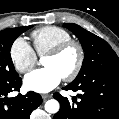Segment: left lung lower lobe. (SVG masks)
Masks as SVG:
<instances>
[{
  "label": "left lung lower lobe",
  "instance_id": "0a47b994",
  "mask_svg": "<svg viewBox=\"0 0 119 119\" xmlns=\"http://www.w3.org/2000/svg\"><path fill=\"white\" fill-rule=\"evenodd\" d=\"M65 90L82 94L69 101L55 93L60 110L53 119H119V70L104 71L92 78L71 82Z\"/></svg>",
  "mask_w": 119,
  "mask_h": 119
}]
</instances>
